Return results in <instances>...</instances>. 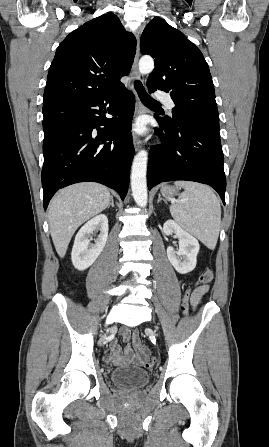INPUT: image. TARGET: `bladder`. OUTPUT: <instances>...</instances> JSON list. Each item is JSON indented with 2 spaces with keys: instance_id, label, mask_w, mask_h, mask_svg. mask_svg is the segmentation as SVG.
I'll list each match as a JSON object with an SVG mask.
<instances>
[{
  "instance_id": "obj_1",
  "label": "bladder",
  "mask_w": 269,
  "mask_h": 447,
  "mask_svg": "<svg viewBox=\"0 0 269 447\" xmlns=\"http://www.w3.org/2000/svg\"><path fill=\"white\" fill-rule=\"evenodd\" d=\"M109 377L120 390L137 391L142 386H147L151 373L144 368L126 365L113 369Z\"/></svg>"
}]
</instances>
